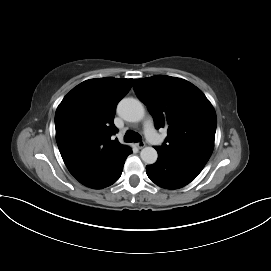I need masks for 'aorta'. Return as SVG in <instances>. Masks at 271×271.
<instances>
[{
  "mask_svg": "<svg viewBox=\"0 0 271 271\" xmlns=\"http://www.w3.org/2000/svg\"><path fill=\"white\" fill-rule=\"evenodd\" d=\"M117 111L124 120L129 122H139L145 115L143 104L134 98L122 99L118 104ZM140 157L146 164H154L158 154L153 147H145L141 150Z\"/></svg>",
  "mask_w": 271,
  "mask_h": 271,
  "instance_id": "762f6f07",
  "label": "aorta"
}]
</instances>
